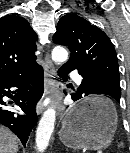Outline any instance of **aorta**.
<instances>
[{"instance_id":"aorta-1","label":"aorta","mask_w":130,"mask_h":153,"mask_svg":"<svg viewBox=\"0 0 130 153\" xmlns=\"http://www.w3.org/2000/svg\"><path fill=\"white\" fill-rule=\"evenodd\" d=\"M68 59V52L63 47H55L52 50V60L56 63L66 62ZM56 119V111L53 107L48 108L40 119L36 131V146L39 152H43L48 144L51 134L54 130Z\"/></svg>"}]
</instances>
